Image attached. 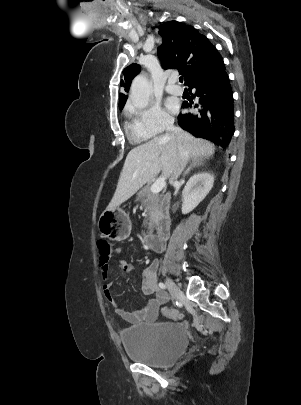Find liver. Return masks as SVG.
Returning a JSON list of instances; mask_svg holds the SVG:
<instances>
[{"label":"liver","mask_w":301,"mask_h":405,"mask_svg":"<svg viewBox=\"0 0 301 405\" xmlns=\"http://www.w3.org/2000/svg\"><path fill=\"white\" fill-rule=\"evenodd\" d=\"M183 136L192 159L208 158L214 154L215 147L211 142L195 138L184 131ZM177 157L178 140L172 133L157 136L133 148L126 157L115 194L107 209L119 207L161 171L166 177L172 175Z\"/></svg>","instance_id":"liver-1"}]
</instances>
